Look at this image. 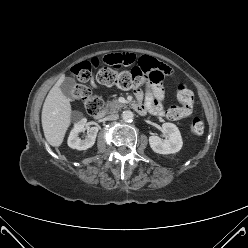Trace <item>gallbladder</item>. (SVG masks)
Returning <instances> with one entry per match:
<instances>
[{
	"label": "gallbladder",
	"instance_id": "bac80fb5",
	"mask_svg": "<svg viewBox=\"0 0 248 248\" xmlns=\"http://www.w3.org/2000/svg\"><path fill=\"white\" fill-rule=\"evenodd\" d=\"M76 86V81L73 78H66L63 83L60 85L62 93L68 97L73 98V90Z\"/></svg>",
	"mask_w": 248,
	"mask_h": 248
}]
</instances>
